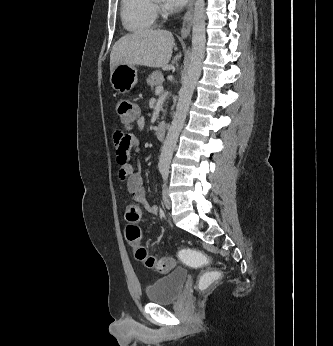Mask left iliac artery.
<instances>
[{
  "instance_id": "obj_1",
  "label": "left iliac artery",
  "mask_w": 333,
  "mask_h": 346,
  "mask_svg": "<svg viewBox=\"0 0 333 346\" xmlns=\"http://www.w3.org/2000/svg\"><path fill=\"white\" fill-rule=\"evenodd\" d=\"M161 172H162L163 179L166 180L168 177V174H169V170L167 168H164V169H162Z\"/></svg>"
}]
</instances>
